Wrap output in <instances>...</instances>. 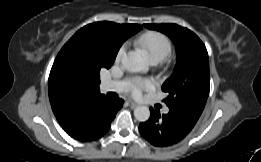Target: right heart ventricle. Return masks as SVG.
<instances>
[{
  "instance_id": "obj_1",
  "label": "right heart ventricle",
  "mask_w": 261,
  "mask_h": 162,
  "mask_svg": "<svg viewBox=\"0 0 261 162\" xmlns=\"http://www.w3.org/2000/svg\"><path fill=\"white\" fill-rule=\"evenodd\" d=\"M138 43L146 50L150 60L165 59L172 50L171 41L159 32H146L139 36Z\"/></svg>"
}]
</instances>
